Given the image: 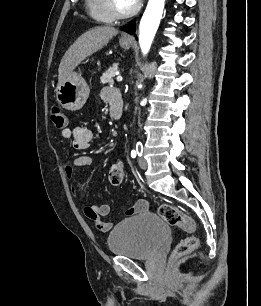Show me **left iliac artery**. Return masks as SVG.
Instances as JSON below:
<instances>
[{
	"mask_svg": "<svg viewBox=\"0 0 261 306\" xmlns=\"http://www.w3.org/2000/svg\"><path fill=\"white\" fill-rule=\"evenodd\" d=\"M142 152H143V145L142 143L139 141L136 144V150H132L131 151V157L135 158L137 155L138 156H142Z\"/></svg>",
	"mask_w": 261,
	"mask_h": 306,
	"instance_id": "1",
	"label": "left iliac artery"
}]
</instances>
